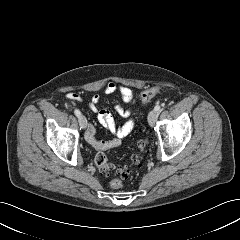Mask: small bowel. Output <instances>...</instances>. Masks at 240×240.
Wrapping results in <instances>:
<instances>
[{
  "instance_id": "c3829d8e",
  "label": "small bowel",
  "mask_w": 240,
  "mask_h": 240,
  "mask_svg": "<svg viewBox=\"0 0 240 240\" xmlns=\"http://www.w3.org/2000/svg\"><path fill=\"white\" fill-rule=\"evenodd\" d=\"M103 91L107 95L119 93L124 104H131L134 102V92L126 85H118L114 82H108ZM68 98L73 101H82V96L78 93H70ZM99 102L100 96L98 94H94L88 102V107L97 115L99 124L113 134V138L109 140H98L95 137V127L93 124L88 125L85 137L95 149L105 151L116 148L121 144V140L128 136L133 130L134 120L131 117L132 111L130 109L124 108L121 104H116L115 111L117 114L128 118L122 126H118L109 110L98 107Z\"/></svg>"
}]
</instances>
